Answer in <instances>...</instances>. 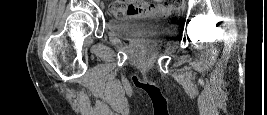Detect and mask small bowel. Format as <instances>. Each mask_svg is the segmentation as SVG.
Segmentation results:
<instances>
[{"mask_svg":"<svg viewBox=\"0 0 267 115\" xmlns=\"http://www.w3.org/2000/svg\"><path fill=\"white\" fill-rule=\"evenodd\" d=\"M132 13L145 14V13H159L164 14L166 7L161 0H157L154 3L136 1L130 4Z\"/></svg>","mask_w":267,"mask_h":115,"instance_id":"small-bowel-1","label":"small bowel"}]
</instances>
